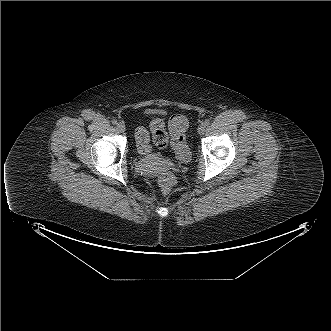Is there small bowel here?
I'll return each instance as SVG.
<instances>
[{
	"label": "small bowel",
	"mask_w": 331,
	"mask_h": 331,
	"mask_svg": "<svg viewBox=\"0 0 331 331\" xmlns=\"http://www.w3.org/2000/svg\"><path fill=\"white\" fill-rule=\"evenodd\" d=\"M156 125H161V126H163V122H162L161 120H155V121L151 124V130H152V132L154 131ZM143 137H145V139H146V141H147V143H148V141H149V137H148L147 132H146L144 129H139L138 132H137V136H136V140H137L138 147L141 149V151H143V152H147L149 147H147L145 150H142V148H141V144H142V139H143Z\"/></svg>",
	"instance_id": "small-bowel-1"
}]
</instances>
